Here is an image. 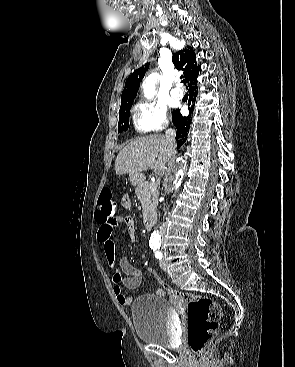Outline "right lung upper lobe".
I'll list each match as a JSON object with an SVG mask.
<instances>
[{"label":"right lung upper lobe","mask_w":295,"mask_h":367,"mask_svg":"<svg viewBox=\"0 0 295 367\" xmlns=\"http://www.w3.org/2000/svg\"><path fill=\"white\" fill-rule=\"evenodd\" d=\"M172 60L175 68L184 70V75L181 76V78H183L182 82L188 84L187 88L190 90L192 87L196 86L200 67L197 65L193 48L188 46L187 48L174 53ZM148 67L149 63L138 68L128 77L122 92L121 105L134 101V98L137 95L139 84L143 79Z\"/></svg>","instance_id":"right-lung-upper-lobe-1"}]
</instances>
